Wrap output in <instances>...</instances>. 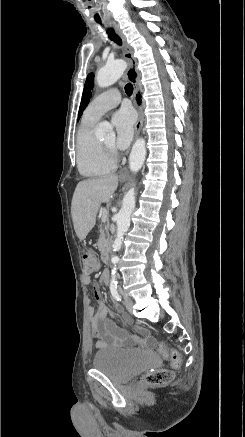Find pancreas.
<instances>
[{"label": "pancreas", "mask_w": 245, "mask_h": 437, "mask_svg": "<svg viewBox=\"0 0 245 437\" xmlns=\"http://www.w3.org/2000/svg\"><path fill=\"white\" fill-rule=\"evenodd\" d=\"M110 235L108 232V225L102 223L100 225V237L98 239V248L100 251H103L107 245L109 244Z\"/></svg>", "instance_id": "cf45deb5"}]
</instances>
